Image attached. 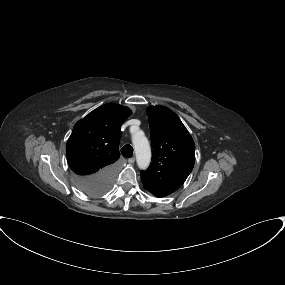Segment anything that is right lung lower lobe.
Segmentation results:
<instances>
[{
	"label": "right lung lower lobe",
	"mask_w": 285,
	"mask_h": 285,
	"mask_svg": "<svg viewBox=\"0 0 285 285\" xmlns=\"http://www.w3.org/2000/svg\"><path fill=\"white\" fill-rule=\"evenodd\" d=\"M116 164H112L100 170L99 172L88 176H77L78 187L86 194L97 196L106 193L115 177Z\"/></svg>",
	"instance_id": "1"
}]
</instances>
